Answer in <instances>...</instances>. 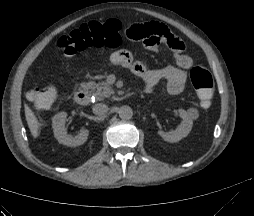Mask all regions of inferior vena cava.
I'll use <instances>...</instances> for the list:
<instances>
[{"label": "inferior vena cava", "mask_w": 254, "mask_h": 216, "mask_svg": "<svg viewBox=\"0 0 254 216\" xmlns=\"http://www.w3.org/2000/svg\"><path fill=\"white\" fill-rule=\"evenodd\" d=\"M95 115H103L109 110L108 106L103 103L95 104L92 108Z\"/></svg>", "instance_id": "602c4592"}]
</instances>
